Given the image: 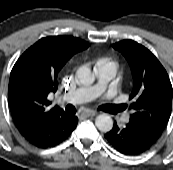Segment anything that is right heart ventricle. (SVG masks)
<instances>
[{
  "label": "right heart ventricle",
  "instance_id": "obj_1",
  "mask_svg": "<svg viewBox=\"0 0 173 170\" xmlns=\"http://www.w3.org/2000/svg\"><path fill=\"white\" fill-rule=\"evenodd\" d=\"M101 62L113 67L114 69L116 68V63L110 59H102Z\"/></svg>",
  "mask_w": 173,
  "mask_h": 170
}]
</instances>
